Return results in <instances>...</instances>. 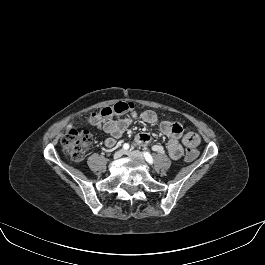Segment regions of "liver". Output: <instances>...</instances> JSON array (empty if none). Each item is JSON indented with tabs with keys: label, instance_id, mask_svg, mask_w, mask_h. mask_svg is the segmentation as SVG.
Returning a JSON list of instances; mask_svg holds the SVG:
<instances>
[{
	"label": "liver",
	"instance_id": "1",
	"mask_svg": "<svg viewBox=\"0 0 265 265\" xmlns=\"http://www.w3.org/2000/svg\"><path fill=\"white\" fill-rule=\"evenodd\" d=\"M72 128V123H70V124H68L67 126H66V131H68L69 129H71Z\"/></svg>",
	"mask_w": 265,
	"mask_h": 265
}]
</instances>
